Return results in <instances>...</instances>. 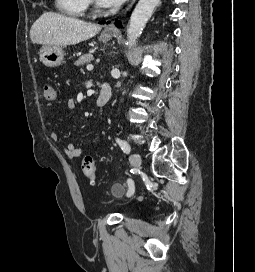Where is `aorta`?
I'll return each mask as SVG.
<instances>
[{
	"mask_svg": "<svg viewBox=\"0 0 255 272\" xmlns=\"http://www.w3.org/2000/svg\"><path fill=\"white\" fill-rule=\"evenodd\" d=\"M160 0H139L129 21L127 28V46L131 50L136 44L137 39L153 14L155 7Z\"/></svg>",
	"mask_w": 255,
	"mask_h": 272,
	"instance_id": "obj_1",
	"label": "aorta"
}]
</instances>
